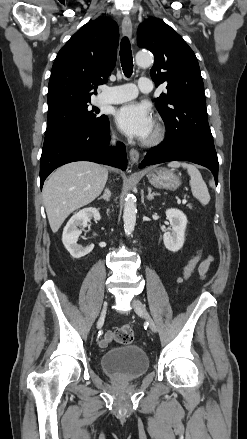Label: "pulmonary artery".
Instances as JSON below:
<instances>
[{"label":"pulmonary artery","instance_id":"obj_1","mask_svg":"<svg viewBox=\"0 0 247 439\" xmlns=\"http://www.w3.org/2000/svg\"><path fill=\"white\" fill-rule=\"evenodd\" d=\"M152 89V81L149 78L141 77L137 86L134 84H123L105 88L100 97V102L106 104H119L134 99L139 91L149 93Z\"/></svg>","mask_w":247,"mask_h":439}]
</instances>
